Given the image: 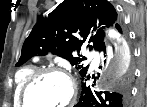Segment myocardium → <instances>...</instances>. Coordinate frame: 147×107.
<instances>
[{
	"label": "myocardium",
	"mask_w": 147,
	"mask_h": 107,
	"mask_svg": "<svg viewBox=\"0 0 147 107\" xmlns=\"http://www.w3.org/2000/svg\"><path fill=\"white\" fill-rule=\"evenodd\" d=\"M59 75L67 80V82L70 85V95L69 98L66 100L65 103H63L61 106L57 107H68L71 104L74 103L76 96H77V86L75 80L62 68L60 67H46L36 70L30 78L25 83L24 87L22 88L21 94H20V103L23 107H30L27 101V96L29 93V90L31 87L42 77L46 75Z\"/></svg>",
	"instance_id": "myocardium-1"
}]
</instances>
